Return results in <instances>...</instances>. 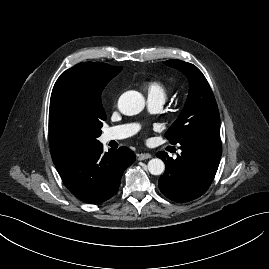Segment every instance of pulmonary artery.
Listing matches in <instances>:
<instances>
[{
	"instance_id": "obj_1",
	"label": "pulmonary artery",
	"mask_w": 269,
	"mask_h": 269,
	"mask_svg": "<svg viewBox=\"0 0 269 269\" xmlns=\"http://www.w3.org/2000/svg\"><path fill=\"white\" fill-rule=\"evenodd\" d=\"M165 99L161 97L148 98V103L154 110H159L164 104ZM137 131L134 124H125L108 128L104 131L102 140L108 142L111 140H121L132 136Z\"/></svg>"
}]
</instances>
